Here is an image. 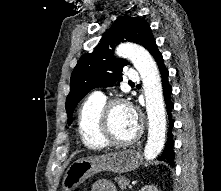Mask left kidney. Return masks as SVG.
I'll return each mask as SVG.
<instances>
[{
	"label": "left kidney",
	"mask_w": 221,
	"mask_h": 191,
	"mask_svg": "<svg viewBox=\"0 0 221 191\" xmlns=\"http://www.w3.org/2000/svg\"><path fill=\"white\" fill-rule=\"evenodd\" d=\"M140 191H158L156 186L153 185H146L143 188H141Z\"/></svg>",
	"instance_id": "1"
}]
</instances>
